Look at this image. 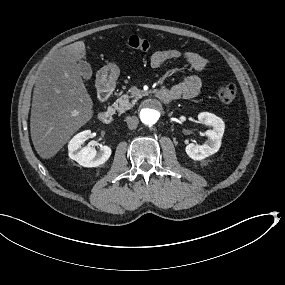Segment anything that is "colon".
Wrapping results in <instances>:
<instances>
[{
  "label": "colon",
  "instance_id": "5ec220e1",
  "mask_svg": "<svg viewBox=\"0 0 285 285\" xmlns=\"http://www.w3.org/2000/svg\"><path fill=\"white\" fill-rule=\"evenodd\" d=\"M124 43L128 48L142 52H146L150 49L149 41L138 35H132L128 37ZM217 96L220 102L223 104H229L233 102L237 96L236 85L233 83H227L220 86L217 91Z\"/></svg>",
  "mask_w": 285,
  "mask_h": 285
}]
</instances>
